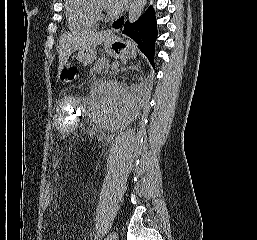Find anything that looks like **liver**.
Segmentation results:
<instances>
[{
    "label": "liver",
    "instance_id": "1",
    "mask_svg": "<svg viewBox=\"0 0 257 240\" xmlns=\"http://www.w3.org/2000/svg\"><path fill=\"white\" fill-rule=\"evenodd\" d=\"M110 31L96 32L93 30H82L72 33H66L59 40V68L61 71L66 65L70 55L81 49H95L106 40Z\"/></svg>",
    "mask_w": 257,
    "mask_h": 240
}]
</instances>
